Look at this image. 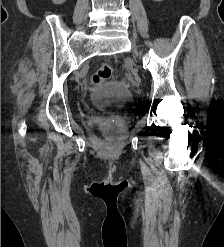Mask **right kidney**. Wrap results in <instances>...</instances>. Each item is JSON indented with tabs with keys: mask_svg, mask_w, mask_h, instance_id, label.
Segmentation results:
<instances>
[{
	"mask_svg": "<svg viewBox=\"0 0 224 247\" xmlns=\"http://www.w3.org/2000/svg\"><path fill=\"white\" fill-rule=\"evenodd\" d=\"M53 4H56V6H59V4H64L66 0H52Z\"/></svg>",
	"mask_w": 224,
	"mask_h": 247,
	"instance_id": "right-kidney-1",
	"label": "right kidney"
}]
</instances>
